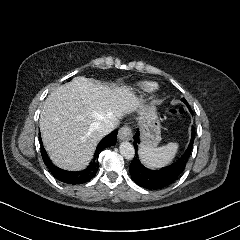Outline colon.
<instances>
[{
    "label": "colon",
    "mask_w": 240,
    "mask_h": 240,
    "mask_svg": "<svg viewBox=\"0 0 240 240\" xmlns=\"http://www.w3.org/2000/svg\"><path fill=\"white\" fill-rule=\"evenodd\" d=\"M174 112H175V113H182V112H183V109H175Z\"/></svg>",
    "instance_id": "obj_1"
}]
</instances>
